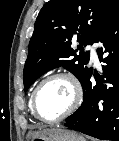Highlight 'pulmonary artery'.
<instances>
[{
    "mask_svg": "<svg viewBox=\"0 0 119 141\" xmlns=\"http://www.w3.org/2000/svg\"><path fill=\"white\" fill-rule=\"evenodd\" d=\"M87 49L90 51L91 60L96 65H98L99 64V59H98V55H97L96 49L93 46H88Z\"/></svg>",
    "mask_w": 119,
    "mask_h": 141,
    "instance_id": "pulmonary-artery-1",
    "label": "pulmonary artery"
}]
</instances>
